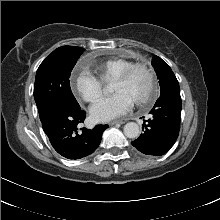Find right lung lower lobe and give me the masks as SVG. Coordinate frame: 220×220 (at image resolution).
<instances>
[{
    "label": "right lung lower lobe",
    "instance_id": "98d812e1",
    "mask_svg": "<svg viewBox=\"0 0 220 220\" xmlns=\"http://www.w3.org/2000/svg\"><path fill=\"white\" fill-rule=\"evenodd\" d=\"M86 114L81 108H57L41 118L42 127L53 148L63 157L80 159L93 153L100 144L103 131L108 125H97L93 129L77 126Z\"/></svg>",
    "mask_w": 220,
    "mask_h": 220
}]
</instances>
